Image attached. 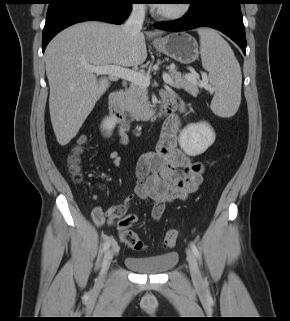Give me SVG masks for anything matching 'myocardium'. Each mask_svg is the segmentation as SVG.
I'll return each instance as SVG.
<instances>
[{
	"label": "myocardium",
	"mask_w": 290,
	"mask_h": 321,
	"mask_svg": "<svg viewBox=\"0 0 290 321\" xmlns=\"http://www.w3.org/2000/svg\"><path fill=\"white\" fill-rule=\"evenodd\" d=\"M190 3L188 0H182L178 5L171 9L160 8L159 5L155 7L154 15L163 21H174L184 17L190 10Z\"/></svg>",
	"instance_id": "obj_1"
}]
</instances>
